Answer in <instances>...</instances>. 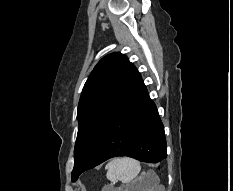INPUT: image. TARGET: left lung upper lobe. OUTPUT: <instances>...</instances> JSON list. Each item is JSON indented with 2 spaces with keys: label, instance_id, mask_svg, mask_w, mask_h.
I'll return each mask as SVG.
<instances>
[{
  "label": "left lung upper lobe",
  "instance_id": "obj_1",
  "mask_svg": "<svg viewBox=\"0 0 233 191\" xmlns=\"http://www.w3.org/2000/svg\"><path fill=\"white\" fill-rule=\"evenodd\" d=\"M140 80L136 67L120 53L105 56L94 67L78 105L72 176L83 167L105 128Z\"/></svg>",
  "mask_w": 233,
  "mask_h": 191
}]
</instances>
